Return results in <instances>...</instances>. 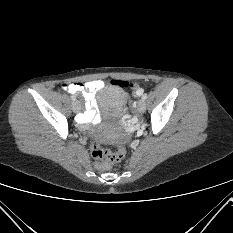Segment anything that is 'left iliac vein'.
I'll use <instances>...</instances> for the list:
<instances>
[{
	"instance_id": "4c4485c4",
	"label": "left iliac vein",
	"mask_w": 233,
	"mask_h": 233,
	"mask_svg": "<svg viewBox=\"0 0 233 233\" xmlns=\"http://www.w3.org/2000/svg\"><path fill=\"white\" fill-rule=\"evenodd\" d=\"M146 110V104L145 101L143 99H141L138 104H137V111L139 113H144Z\"/></svg>"
}]
</instances>
